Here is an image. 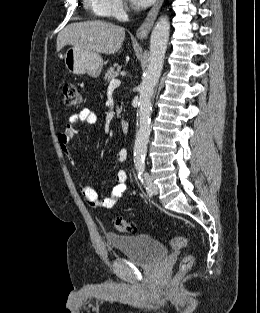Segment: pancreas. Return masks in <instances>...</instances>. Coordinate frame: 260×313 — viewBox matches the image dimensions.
<instances>
[{
	"instance_id": "obj_1",
	"label": "pancreas",
	"mask_w": 260,
	"mask_h": 313,
	"mask_svg": "<svg viewBox=\"0 0 260 313\" xmlns=\"http://www.w3.org/2000/svg\"><path fill=\"white\" fill-rule=\"evenodd\" d=\"M121 70V66L115 64L114 67H111L110 69H108V71L105 73V77L104 79L106 81H111L113 79H115L118 75L119 72ZM120 113H121V109H117V116L120 117Z\"/></svg>"
}]
</instances>
